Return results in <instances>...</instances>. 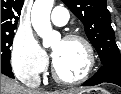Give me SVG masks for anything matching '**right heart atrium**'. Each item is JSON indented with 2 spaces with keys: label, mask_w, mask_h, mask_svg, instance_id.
<instances>
[{
  "label": "right heart atrium",
  "mask_w": 121,
  "mask_h": 94,
  "mask_svg": "<svg viewBox=\"0 0 121 94\" xmlns=\"http://www.w3.org/2000/svg\"><path fill=\"white\" fill-rule=\"evenodd\" d=\"M46 62V54L32 34L16 35L11 54L12 69L16 76L26 80L36 78L43 72Z\"/></svg>",
  "instance_id": "1"
}]
</instances>
